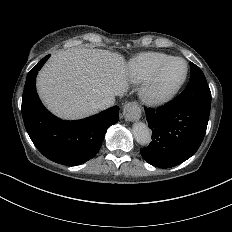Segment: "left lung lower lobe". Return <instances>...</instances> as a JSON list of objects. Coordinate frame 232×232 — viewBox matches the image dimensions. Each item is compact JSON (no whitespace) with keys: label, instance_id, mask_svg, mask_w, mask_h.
Segmentation results:
<instances>
[{"label":"left lung lower lobe","instance_id":"obj_1","mask_svg":"<svg viewBox=\"0 0 232 232\" xmlns=\"http://www.w3.org/2000/svg\"><path fill=\"white\" fill-rule=\"evenodd\" d=\"M145 112L152 142L141 148L140 153L149 164L171 168L196 153L204 139L210 112L175 100Z\"/></svg>","mask_w":232,"mask_h":232}]
</instances>
